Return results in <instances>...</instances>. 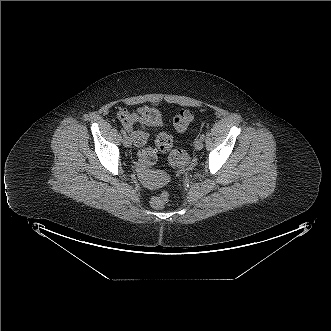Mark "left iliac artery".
<instances>
[{
	"mask_svg": "<svg viewBox=\"0 0 331 331\" xmlns=\"http://www.w3.org/2000/svg\"><path fill=\"white\" fill-rule=\"evenodd\" d=\"M200 138H201L202 140H204L205 135H204V134H201V135H200Z\"/></svg>",
	"mask_w": 331,
	"mask_h": 331,
	"instance_id": "obj_1",
	"label": "left iliac artery"
}]
</instances>
